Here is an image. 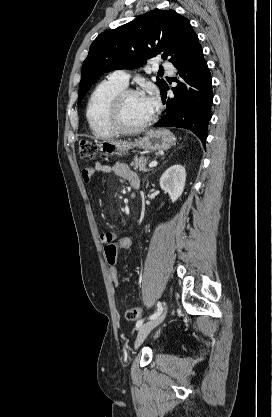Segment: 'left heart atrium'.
<instances>
[{"label":"left heart atrium","mask_w":272,"mask_h":417,"mask_svg":"<svg viewBox=\"0 0 272 417\" xmlns=\"http://www.w3.org/2000/svg\"><path fill=\"white\" fill-rule=\"evenodd\" d=\"M143 100L151 113H154L159 105L157 92L154 89H150L148 94L143 96Z\"/></svg>","instance_id":"left-heart-atrium-1"}]
</instances>
